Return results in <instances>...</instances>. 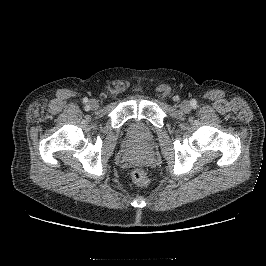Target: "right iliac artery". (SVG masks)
<instances>
[{"label":"right iliac artery","mask_w":266,"mask_h":266,"mask_svg":"<svg viewBox=\"0 0 266 266\" xmlns=\"http://www.w3.org/2000/svg\"><path fill=\"white\" fill-rule=\"evenodd\" d=\"M88 100L87 99H84V102H87Z\"/></svg>","instance_id":"obj_1"}]
</instances>
